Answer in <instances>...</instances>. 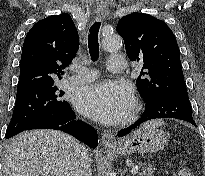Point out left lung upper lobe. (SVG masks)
<instances>
[{
    "label": "left lung upper lobe",
    "mask_w": 205,
    "mask_h": 176,
    "mask_svg": "<svg viewBox=\"0 0 205 176\" xmlns=\"http://www.w3.org/2000/svg\"><path fill=\"white\" fill-rule=\"evenodd\" d=\"M117 32L130 60L143 63L137 89L145 101L171 87H186L179 47L165 22L149 14L131 13L120 19Z\"/></svg>",
    "instance_id": "left-lung-upper-lobe-1"
}]
</instances>
